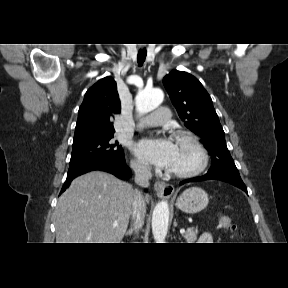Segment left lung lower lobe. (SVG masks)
<instances>
[{"mask_svg":"<svg viewBox=\"0 0 288 288\" xmlns=\"http://www.w3.org/2000/svg\"><path fill=\"white\" fill-rule=\"evenodd\" d=\"M221 180L227 183H230L240 189H242L243 191H245L247 193V188L245 186V184L243 183V181L241 180V178H231V177H225V176H212V175H204L201 177H195L192 179H187L184 180L180 183V185L188 183V182H199V181H204V180Z\"/></svg>","mask_w":288,"mask_h":288,"instance_id":"1","label":"left lung lower lobe"}]
</instances>
